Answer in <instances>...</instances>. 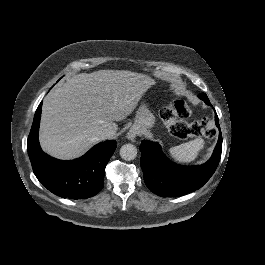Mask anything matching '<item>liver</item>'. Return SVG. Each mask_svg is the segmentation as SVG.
<instances>
[{"instance_id": "liver-1", "label": "liver", "mask_w": 265, "mask_h": 265, "mask_svg": "<svg viewBox=\"0 0 265 265\" xmlns=\"http://www.w3.org/2000/svg\"><path fill=\"white\" fill-rule=\"evenodd\" d=\"M155 82L138 72L101 69L76 73L62 85H55L42 104L41 150L58 160L80 158L105 140V129H119L113 120L126 117Z\"/></svg>"}]
</instances>
